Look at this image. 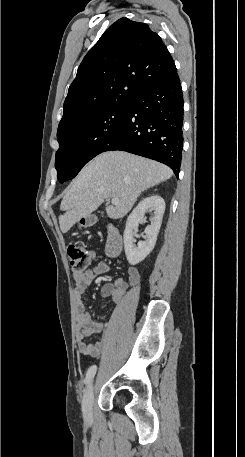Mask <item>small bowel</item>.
I'll return each mask as SVG.
<instances>
[{
  "label": "small bowel",
  "instance_id": "small-bowel-1",
  "mask_svg": "<svg viewBox=\"0 0 245 457\" xmlns=\"http://www.w3.org/2000/svg\"><path fill=\"white\" fill-rule=\"evenodd\" d=\"M109 264L101 262L96 264L92 269L86 272L76 271L74 273L75 293L77 296L76 302V344L78 351L87 356L97 357L103 351L117 350L124 346L127 332L120 328L110 326L105 329L101 340L88 344L86 340L95 333L103 330V323L93 317L85 307L82 296L93 282V280L101 274L110 271ZM129 282L123 278H118L114 282L106 283L101 289L103 297H111L114 303H119L129 286L136 285L140 280V275L135 267L128 269Z\"/></svg>",
  "mask_w": 245,
  "mask_h": 457
}]
</instances>
